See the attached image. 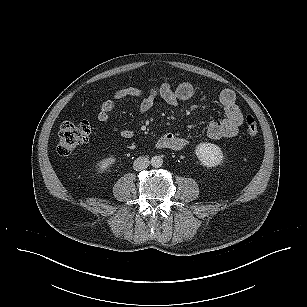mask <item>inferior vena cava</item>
Here are the masks:
<instances>
[{"label": "inferior vena cava", "mask_w": 307, "mask_h": 307, "mask_svg": "<svg viewBox=\"0 0 307 307\" xmlns=\"http://www.w3.org/2000/svg\"><path fill=\"white\" fill-rule=\"evenodd\" d=\"M149 163L150 161L147 157H138L133 163V168L136 171H141L146 169L149 166Z\"/></svg>", "instance_id": "1"}]
</instances>
